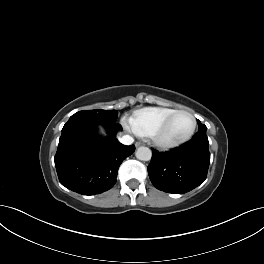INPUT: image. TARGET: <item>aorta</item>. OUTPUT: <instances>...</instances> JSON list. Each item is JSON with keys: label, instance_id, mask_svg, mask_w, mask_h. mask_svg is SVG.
<instances>
[{"label": "aorta", "instance_id": "1", "mask_svg": "<svg viewBox=\"0 0 264 264\" xmlns=\"http://www.w3.org/2000/svg\"><path fill=\"white\" fill-rule=\"evenodd\" d=\"M135 155L141 161H149L152 157V152L148 147H139Z\"/></svg>", "mask_w": 264, "mask_h": 264}]
</instances>
